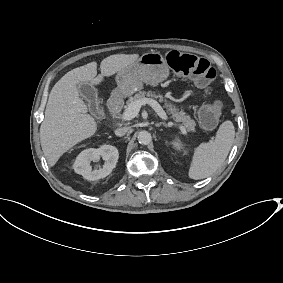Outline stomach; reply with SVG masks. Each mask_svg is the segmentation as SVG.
I'll return each mask as SVG.
<instances>
[{"mask_svg":"<svg viewBox=\"0 0 283 283\" xmlns=\"http://www.w3.org/2000/svg\"><path fill=\"white\" fill-rule=\"evenodd\" d=\"M169 68L158 52L143 54L133 64L118 71L116 75V94L130 96L143 87V83L149 85L158 84L167 79Z\"/></svg>","mask_w":283,"mask_h":283,"instance_id":"stomach-1","label":"stomach"}]
</instances>
